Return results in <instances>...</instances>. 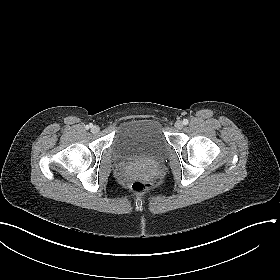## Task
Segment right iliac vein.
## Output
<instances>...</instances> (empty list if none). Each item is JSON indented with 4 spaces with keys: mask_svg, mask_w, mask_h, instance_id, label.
Instances as JSON below:
<instances>
[{
    "mask_svg": "<svg viewBox=\"0 0 280 280\" xmlns=\"http://www.w3.org/2000/svg\"><path fill=\"white\" fill-rule=\"evenodd\" d=\"M99 130H100V128H99V126H97V125L92 126V128H91L92 133H98Z\"/></svg>",
    "mask_w": 280,
    "mask_h": 280,
    "instance_id": "right-iliac-vein-1",
    "label": "right iliac vein"
}]
</instances>
